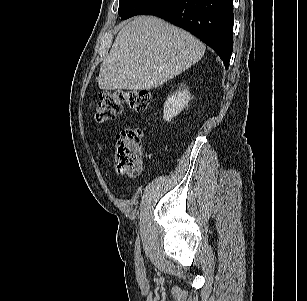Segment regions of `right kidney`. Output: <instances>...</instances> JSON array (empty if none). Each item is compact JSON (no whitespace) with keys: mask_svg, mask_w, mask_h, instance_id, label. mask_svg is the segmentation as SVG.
Segmentation results:
<instances>
[{"mask_svg":"<svg viewBox=\"0 0 307 301\" xmlns=\"http://www.w3.org/2000/svg\"><path fill=\"white\" fill-rule=\"evenodd\" d=\"M189 100L190 92L187 89L180 90L178 93L169 96L164 103V120L170 122L187 106Z\"/></svg>","mask_w":307,"mask_h":301,"instance_id":"ca27d5eb","label":"right kidney"}]
</instances>
